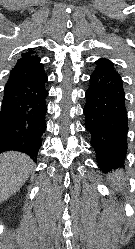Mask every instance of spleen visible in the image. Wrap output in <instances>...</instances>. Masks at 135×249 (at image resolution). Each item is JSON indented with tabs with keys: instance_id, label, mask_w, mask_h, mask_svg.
Returning a JSON list of instances; mask_svg holds the SVG:
<instances>
[{
	"instance_id": "1",
	"label": "spleen",
	"mask_w": 135,
	"mask_h": 249,
	"mask_svg": "<svg viewBox=\"0 0 135 249\" xmlns=\"http://www.w3.org/2000/svg\"><path fill=\"white\" fill-rule=\"evenodd\" d=\"M115 176L119 182V185L123 184L124 186H126L125 184L126 179L122 171H118Z\"/></svg>"
}]
</instances>
